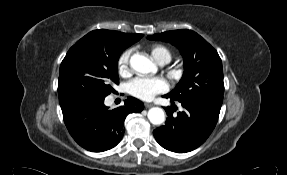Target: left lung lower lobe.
<instances>
[{"instance_id":"0a47b994","label":"left lung lower lobe","mask_w":287,"mask_h":175,"mask_svg":"<svg viewBox=\"0 0 287 175\" xmlns=\"http://www.w3.org/2000/svg\"><path fill=\"white\" fill-rule=\"evenodd\" d=\"M164 97L170 98L167 94ZM171 103L174 104L173 99ZM180 103L184 110L178 112L177 116H173L170 107L165 108L168 116L165 125L155 129L153 135L165 149L186 153L206 141L215 128L219 115L196 103L186 101Z\"/></svg>"}]
</instances>
